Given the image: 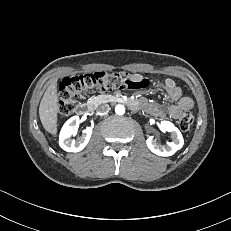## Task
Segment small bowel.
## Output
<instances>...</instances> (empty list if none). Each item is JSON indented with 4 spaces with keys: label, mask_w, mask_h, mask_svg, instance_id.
I'll return each mask as SVG.
<instances>
[{
    "label": "small bowel",
    "mask_w": 231,
    "mask_h": 231,
    "mask_svg": "<svg viewBox=\"0 0 231 231\" xmlns=\"http://www.w3.org/2000/svg\"><path fill=\"white\" fill-rule=\"evenodd\" d=\"M133 78L137 81L143 79L140 74H133ZM157 87L165 91L171 104L169 106L153 104L145 99L136 102L137 107L144 110L147 114L155 117L168 116L172 119H177L183 111H189L193 108L192 99L183 96L181 88L173 80L165 79L159 82Z\"/></svg>",
    "instance_id": "obj_1"
}]
</instances>
